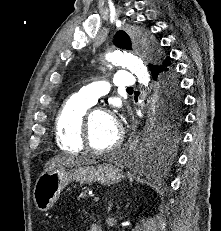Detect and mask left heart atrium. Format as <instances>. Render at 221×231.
Returning a JSON list of instances; mask_svg holds the SVG:
<instances>
[{"label": "left heart atrium", "mask_w": 221, "mask_h": 231, "mask_svg": "<svg viewBox=\"0 0 221 231\" xmlns=\"http://www.w3.org/2000/svg\"><path fill=\"white\" fill-rule=\"evenodd\" d=\"M112 125L115 129L119 130L120 129V120L116 116L110 115Z\"/></svg>", "instance_id": "1"}]
</instances>
